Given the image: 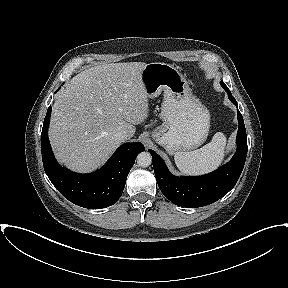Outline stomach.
Listing matches in <instances>:
<instances>
[{"label":"stomach","mask_w":288,"mask_h":288,"mask_svg":"<svg viewBox=\"0 0 288 288\" xmlns=\"http://www.w3.org/2000/svg\"><path fill=\"white\" fill-rule=\"evenodd\" d=\"M141 80L148 98L163 92V124L152 132L153 139L171 155L201 146L209 133L210 113L192 94L177 68L167 63H149L141 72Z\"/></svg>","instance_id":"0dacf381"}]
</instances>
